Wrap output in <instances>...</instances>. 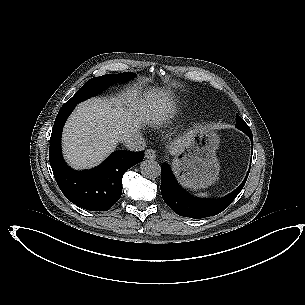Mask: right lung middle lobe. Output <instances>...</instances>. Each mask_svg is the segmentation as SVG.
I'll return each mask as SVG.
<instances>
[{
	"mask_svg": "<svg viewBox=\"0 0 305 305\" xmlns=\"http://www.w3.org/2000/svg\"><path fill=\"white\" fill-rule=\"evenodd\" d=\"M132 73H123L118 75H103L100 77H95L88 80L80 90L66 103L69 105H74L97 95L98 93L102 92L107 86L113 84L117 81H127L129 78H132Z\"/></svg>",
	"mask_w": 305,
	"mask_h": 305,
	"instance_id": "1",
	"label": "right lung middle lobe"
}]
</instances>
